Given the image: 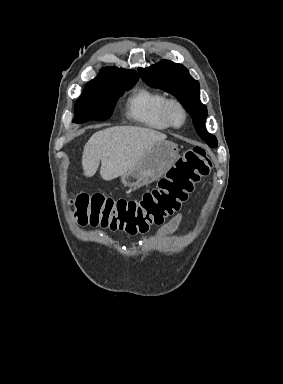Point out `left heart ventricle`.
Segmentation results:
<instances>
[{"instance_id":"left-heart-ventricle-1","label":"left heart ventricle","mask_w":283,"mask_h":384,"mask_svg":"<svg viewBox=\"0 0 283 384\" xmlns=\"http://www.w3.org/2000/svg\"><path fill=\"white\" fill-rule=\"evenodd\" d=\"M171 117L175 124H181L183 120V115L178 108H173L171 111Z\"/></svg>"}]
</instances>
